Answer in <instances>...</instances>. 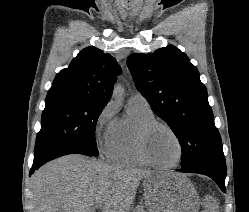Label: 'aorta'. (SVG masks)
I'll return each mask as SVG.
<instances>
[{
	"mask_svg": "<svg viewBox=\"0 0 249 212\" xmlns=\"http://www.w3.org/2000/svg\"><path fill=\"white\" fill-rule=\"evenodd\" d=\"M124 88L121 84H117L113 90V96L115 99L120 100L123 97Z\"/></svg>",
	"mask_w": 249,
	"mask_h": 212,
	"instance_id": "762f6f07",
	"label": "aorta"
}]
</instances>
